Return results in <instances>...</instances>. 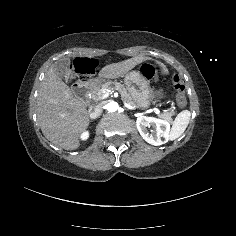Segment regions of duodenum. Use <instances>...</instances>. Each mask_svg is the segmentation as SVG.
I'll use <instances>...</instances> for the list:
<instances>
[{"mask_svg":"<svg viewBox=\"0 0 236 236\" xmlns=\"http://www.w3.org/2000/svg\"><path fill=\"white\" fill-rule=\"evenodd\" d=\"M98 82V78L91 73H84L81 75L78 83L75 85L74 93L80 100L87 98L88 91Z\"/></svg>","mask_w":236,"mask_h":236,"instance_id":"obj_1","label":"duodenum"}]
</instances>
